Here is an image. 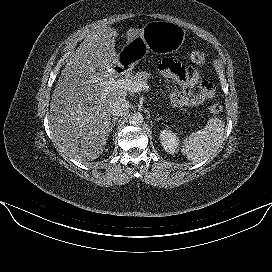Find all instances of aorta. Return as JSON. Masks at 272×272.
Masks as SVG:
<instances>
[{
	"label": "aorta",
	"instance_id": "762f6f07",
	"mask_svg": "<svg viewBox=\"0 0 272 272\" xmlns=\"http://www.w3.org/2000/svg\"><path fill=\"white\" fill-rule=\"evenodd\" d=\"M143 115L141 113H133L129 117V123L133 126H140L143 123Z\"/></svg>",
	"mask_w": 272,
	"mask_h": 272
}]
</instances>
